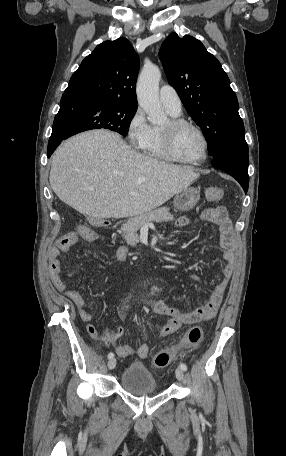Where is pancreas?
<instances>
[{
    "label": "pancreas",
    "mask_w": 286,
    "mask_h": 456,
    "mask_svg": "<svg viewBox=\"0 0 286 456\" xmlns=\"http://www.w3.org/2000/svg\"><path fill=\"white\" fill-rule=\"evenodd\" d=\"M174 219L173 215L169 212V208L161 207L154 211H150L139 216L129 219L121 227L123 232V239L128 245L135 246L139 242L137 231L146 223L151 222H168Z\"/></svg>",
    "instance_id": "1"
}]
</instances>
